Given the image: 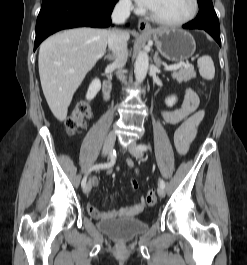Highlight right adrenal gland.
Here are the masks:
<instances>
[{
  "label": "right adrenal gland",
  "mask_w": 247,
  "mask_h": 265,
  "mask_svg": "<svg viewBox=\"0 0 247 265\" xmlns=\"http://www.w3.org/2000/svg\"><path fill=\"white\" fill-rule=\"evenodd\" d=\"M114 58H115V56L110 54V53L104 56V59H107L110 62L113 61Z\"/></svg>",
  "instance_id": "2a0ac1e0"
}]
</instances>
